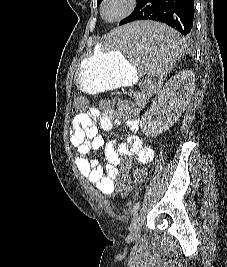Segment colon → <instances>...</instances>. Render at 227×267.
Segmentation results:
<instances>
[{
	"label": "colon",
	"mask_w": 227,
	"mask_h": 267,
	"mask_svg": "<svg viewBox=\"0 0 227 267\" xmlns=\"http://www.w3.org/2000/svg\"><path fill=\"white\" fill-rule=\"evenodd\" d=\"M86 99L78 97L75 99L73 108L76 113H83L86 106ZM102 109H118V104H114L113 100H102ZM118 191L122 194L127 192H136V187H131V182L125 173H118Z\"/></svg>",
	"instance_id": "colon-1"
}]
</instances>
